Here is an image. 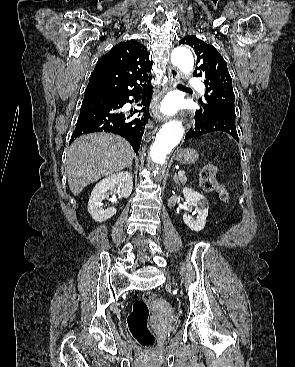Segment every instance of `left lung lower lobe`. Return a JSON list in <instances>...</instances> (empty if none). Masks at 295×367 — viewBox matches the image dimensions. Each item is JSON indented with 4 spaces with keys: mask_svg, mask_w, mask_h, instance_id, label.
<instances>
[{
    "mask_svg": "<svg viewBox=\"0 0 295 367\" xmlns=\"http://www.w3.org/2000/svg\"><path fill=\"white\" fill-rule=\"evenodd\" d=\"M195 119L196 126L186 134L185 140L222 131L238 141L234 111L224 108L207 109L200 106V110L196 111Z\"/></svg>",
    "mask_w": 295,
    "mask_h": 367,
    "instance_id": "left-lung-lower-lobe-1",
    "label": "left lung lower lobe"
}]
</instances>
